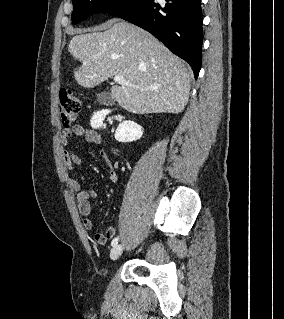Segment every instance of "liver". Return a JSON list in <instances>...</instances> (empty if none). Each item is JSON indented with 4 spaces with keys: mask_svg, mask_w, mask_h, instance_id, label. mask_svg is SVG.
Wrapping results in <instances>:
<instances>
[{
    "mask_svg": "<svg viewBox=\"0 0 284 319\" xmlns=\"http://www.w3.org/2000/svg\"><path fill=\"white\" fill-rule=\"evenodd\" d=\"M92 31L80 32L69 43L70 54L82 62L74 72L79 85L91 88L121 75L135 87L113 86L111 96L127 111L149 114L184 110L192 73L159 40L125 21L104 32Z\"/></svg>",
    "mask_w": 284,
    "mask_h": 319,
    "instance_id": "obj_1",
    "label": "liver"
}]
</instances>
